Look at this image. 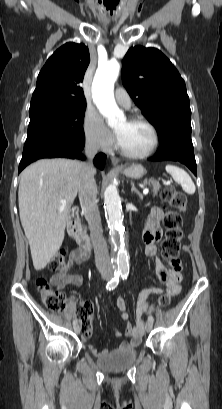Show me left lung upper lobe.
Returning <instances> with one entry per match:
<instances>
[{
    "label": "left lung upper lobe",
    "instance_id": "obj_1",
    "mask_svg": "<svg viewBox=\"0 0 222 409\" xmlns=\"http://www.w3.org/2000/svg\"><path fill=\"white\" fill-rule=\"evenodd\" d=\"M122 81L135 104L152 123L160 144L191 139V110L185 82L156 48L136 46L123 59Z\"/></svg>",
    "mask_w": 222,
    "mask_h": 409
}]
</instances>
